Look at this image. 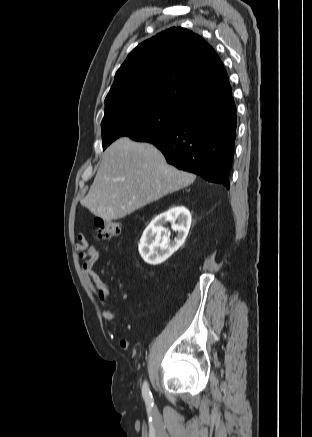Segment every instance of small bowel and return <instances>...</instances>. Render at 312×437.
<instances>
[{"instance_id":"1","label":"small bowel","mask_w":312,"mask_h":437,"mask_svg":"<svg viewBox=\"0 0 312 437\" xmlns=\"http://www.w3.org/2000/svg\"><path fill=\"white\" fill-rule=\"evenodd\" d=\"M77 239L78 242L75 245V249L78 257L83 260L81 263V272L85 282L94 296L99 299L103 317L107 321L113 322L116 320V314L110 309V287L94 270L95 264L101 258V252L96 246L89 244L83 233H79ZM108 335L110 339L116 342L122 349L129 350L131 348V343L127 339L121 338L115 328H109Z\"/></svg>"}]
</instances>
